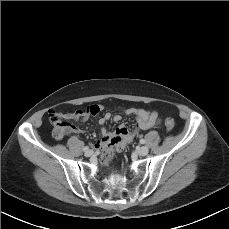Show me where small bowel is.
Returning a JSON list of instances; mask_svg holds the SVG:
<instances>
[{
    "instance_id": "1",
    "label": "small bowel",
    "mask_w": 229,
    "mask_h": 229,
    "mask_svg": "<svg viewBox=\"0 0 229 229\" xmlns=\"http://www.w3.org/2000/svg\"><path fill=\"white\" fill-rule=\"evenodd\" d=\"M126 115H134L136 118V130H129L125 125H120L115 130L114 133L108 131L105 127L101 129V140L94 144V147L100 149L102 151H107L111 145V141L116 136H120L122 138V143H130L135 138L138 130H148L152 128L156 123V113L151 112L149 110L141 109V108H127L123 110ZM89 115L82 110H77L73 113L67 115V118L77 120H87ZM111 119V115L109 113H105L102 117L99 118V125H104L108 120ZM122 120L121 115L117 114L113 116L114 122H120ZM69 131L75 133H82L83 130L79 127L70 126Z\"/></svg>"
}]
</instances>
